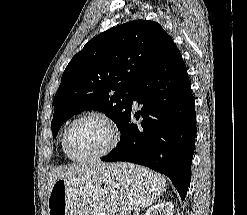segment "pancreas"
<instances>
[{
	"label": "pancreas",
	"instance_id": "1",
	"mask_svg": "<svg viewBox=\"0 0 247 215\" xmlns=\"http://www.w3.org/2000/svg\"><path fill=\"white\" fill-rule=\"evenodd\" d=\"M116 215H130V213L129 212H119Z\"/></svg>",
	"mask_w": 247,
	"mask_h": 215
}]
</instances>
